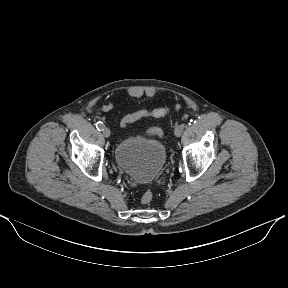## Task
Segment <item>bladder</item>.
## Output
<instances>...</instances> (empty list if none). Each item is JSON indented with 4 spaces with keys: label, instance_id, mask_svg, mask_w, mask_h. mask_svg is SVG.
Returning <instances> with one entry per match:
<instances>
[{
    "label": "bladder",
    "instance_id": "1",
    "mask_svg": "<svg viewBox=\"0 0 288 288\" xmlns=\"http://www.w3.org/2000/svg\"><path fill=\"white\" fill-rule=\"evenodd\" d=\"M116 165L134 181L142 184L154 181L166 162L165 144L154 138L124 137L113 151Z\"/></svg>",
    "mask_w": 288,
    "mask_h": 288
}]
</instances>
